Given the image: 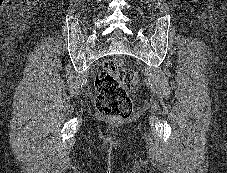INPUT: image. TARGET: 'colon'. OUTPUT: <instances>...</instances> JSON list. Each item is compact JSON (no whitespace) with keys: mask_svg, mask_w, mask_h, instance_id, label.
Segmentation results:
<instances>
[{"mask_svg":"<svg viewBox=\"0 0 227 173\" xmlns=\"http://www.w3.org/2000/svg\"><path fill=\"white\" fill-rule=\"evenodd\" d=\"M139 85L137 73L123 66L120 59L105 60L95 78L98 92L96 108L100 115L113 118H128L133 112V102L128 91Z\"/></svg>","mask_w":227,"mask_h":173,"instance_id":"1","label":"colon"}]
</instances>
